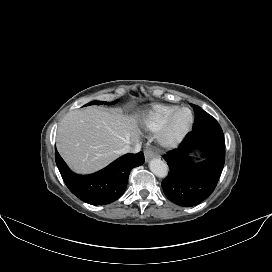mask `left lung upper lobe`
I'll return each mask as SVG.
<instances>
[{
	"instance_id": "left-lung-upper-lobe-1",
	"label": "left lung upper lobe",
	"mask_w": 272,
	"mask_h": 272,
	"mask_svg": "<svg viewBox=\"0 0 272 272\" xmlns=\"http://www.w3.org/2000/svg\"><path fill=\"white\" fill-rule=\"evenodd\" d=\"M190 105L194 108V112H195V121H194L192 131L200 130L203 127L216 121L211 115H209L207 112H205L199 106L194 105V104H190Z\"/></svg>"
}]
</instances>
